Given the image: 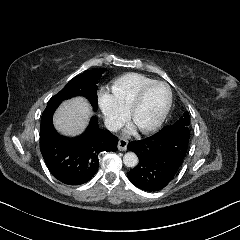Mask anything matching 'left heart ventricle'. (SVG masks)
I'll return each instance as SVG.
<instances>
[{
    "label": "left heart ventricle",
    "mask_w": 240,
    "mask_h": 240,
    "mask_svg": "<svg viewBox=\"0 0 240 240\" xmlns=\"http://www.w3.org/2000/svg\"><path fill=\"white\" fill-rule=\"evenodd\" d=\"M167 98L164 86L155 85L147 92L140 109L136 112L133 124L143 128L153 123L160 115Z\"/></svg>",
    "instance_id": "b2bd125f"
}]
</instances>
